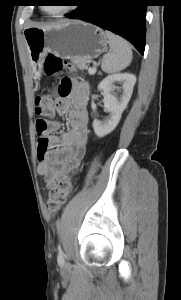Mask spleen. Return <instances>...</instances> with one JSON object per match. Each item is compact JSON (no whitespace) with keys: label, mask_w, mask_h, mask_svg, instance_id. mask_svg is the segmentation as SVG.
<instances>
[{"label":"spleen","mask_w":181,"mask_h":300,"mask_svg":"<svg viewBox=\"0 0 181 300\" xmlns=\"http://www.w3.org/2000/svg\"><path fill=\"white\" fill-rule=\"evenodd\" d=\"M110 51L102 58L101 68L105 73H117L130 65L132 50L127 41L110 31H105Z\"/></svg>","instance_id":"1"}]
</instances>
